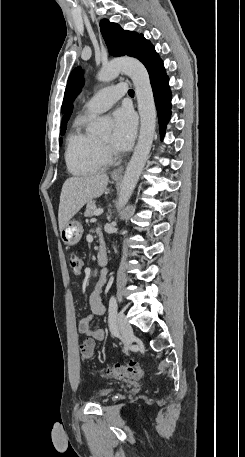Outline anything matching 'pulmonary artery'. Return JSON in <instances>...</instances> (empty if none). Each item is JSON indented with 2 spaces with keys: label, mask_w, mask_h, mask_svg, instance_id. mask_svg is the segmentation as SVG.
<instances>
[{
  "label": "pulmonary artery",
  "mask_w": 245,
  "mask_h": 457,
  "mask_svg": "<svg viewBox=\"0 0 245 457\" xmlns=\"http://www.w3.org/2000/svg\"><path fill=\"white\" fill-rule=\"evenodd\" d=\"M128 80H119L118 86H103L102 93H95L83 106V112L90 117L110 108L115 102L121 100L122 95L129 93Z\"/></svg>",
  "instance_id": "obj_1"
}]
</instances>
